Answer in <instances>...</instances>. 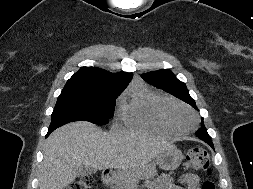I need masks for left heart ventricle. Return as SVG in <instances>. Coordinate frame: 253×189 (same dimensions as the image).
I'll list each match as a JSON object with an SVG mask.
<instances>
[{
  "mask_svg": "<svg viewBox=\"0 0 253 189\" xmlns=\"http://www.w3.org/2000/svg\"><path fill=\"white\" fill-rule=\"evenodd\" d=\"M179 120H180V122H182V123H187V122H188V117H187L186 114L181 113V114L179 115Z\"/></svg>",
  "mask_w": 253,
  "mask_h": 189,
  "instance_id": "obj_1",
  "label": "left heart ventricle"
}]
</instances>
